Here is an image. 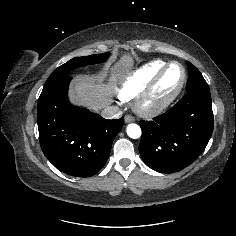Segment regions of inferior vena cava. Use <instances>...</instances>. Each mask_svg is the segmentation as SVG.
Here are the masks:
<instances>
[{
	"label": "inferior vena cava",
	"mask_w": 236,
	"mask_h": 236,
	"mask_svg": "<svg viewBox=\"0 0 236 236\" xmlns=\"http://www.w3.org/2000/svg\"><path fill=\"white\" fill-rule=\"evenodd\" d=\"M101 115L106 119H116L122 115V111L118 106H108L102 111Z\"/></svg>",
	"instance_id": "inferior-vena-cava-1"
}]
</instances>
